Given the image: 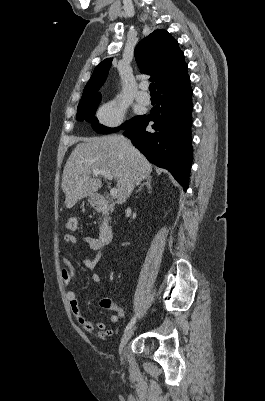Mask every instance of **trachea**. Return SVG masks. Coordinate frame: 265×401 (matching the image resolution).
I'll use <instances>...</instances> for the list:
<instances>
[{
    "label": "trachea",
    "mask_w": 265,
    "mask_h": 401,
    "mask_svg": "<svg viewBox=\"0 0 265 401\" xmlns=\"http://www.w3.org/2000/svg\"><path fill=\"white\" fill-rule=\"evenodd\" d=\"M150 92L156 93V86L155 83H150L149 85Z\"/></svg>",
    "instance_id": "3493384b"
}]
</instances>
